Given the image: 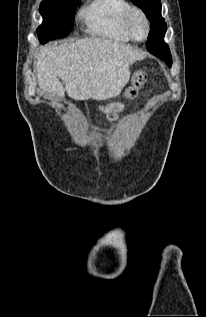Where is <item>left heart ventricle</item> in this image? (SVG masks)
<instances>
[{
	"label": "left heart ventricle",
	"instance_id": "obj_1",
	"mask_svg": "<svg viewBox=\"0 0 206 317\" xmlns=\"http://www.w3.org/2000/svg\"><path fill=\"white\" fill-rule=\"evenodd\" d=\"M130 28L136 38L142 39L146 34V26L142 17L138 14L133 15Z\"/></svg>",
	"mask_w": 206,
	"mask_h": 317
}]
</instances>
